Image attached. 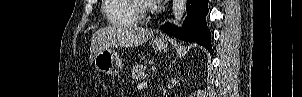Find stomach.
Instances as JSON below:
<instances>
[{"label":"stomach","mask_w":302,"mask_h":97,"mask_svg":"<svg viewBox=\"0 0 302 97\" xmlns=\"http://www.w3.org/2000/svg\"><path fill=\"white\" fill-rule=\"evenodd\" d=\"M152 47L158 52H165L168 44L165 40L153 39ZM95 68L102 73L117 75L122 68L120 57L112 50L111 47L99 49L93 59Z\"/></svg>","instance_id":"1"}]
</instances>
